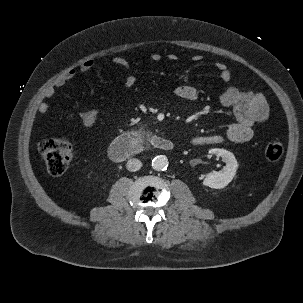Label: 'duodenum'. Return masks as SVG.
<instances>
[{
    "label": "duodenum",
    "instance_id": "obj_1",
    "mask_svg": "<svg viewBox=\"0 0 303 303\" xmlns=\"http://www.w3.org/2000/svg\"><path fill=\"white\" fill-rule=\"evenodd\" d=\"M144 144H149L151 147L162 151H171L174 148L173 142L167 138L158 135L144 137L138 132H128L119 135L111 143L109 156L114 161H123L139 152Z\"/></svg>",
    "mask_w": 303,
    "mask_h": 303
}]
</instances>
